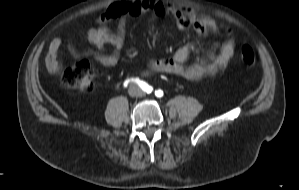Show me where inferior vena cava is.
Masks as SVG:
<instances>
[{
	"instance_id": "1",
	"label": "inferior vena cava",
	"mask_w": 299,
	"mask_h": 190,
	"mask_svg": "<svg viewBox=\"0 0 299 190\" xmlns=\"http://www.w3.org/2000/svg\"><path fill=\"white\" fill-rule=\"evenodd\" d=\"M136 96H143L144 92L142 90H140L139 88H137V92L135 94Z\"/></svg>"
}]
</instances>
